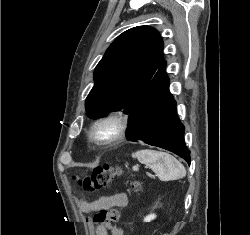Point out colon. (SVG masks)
Listing matches in <instances>:
<instances>
[{
    "mask_svg": "<svg viewBox=\"0 0 250 235\" xmlns=\"http://www.w3.org/2000/svg\"><path fill=\"white\" fill-rule=\"evenodd\" d=\"M120 173L121 169L117 166H98L87 176L77 180V184L87 192L100 191L107 188ZM130 187L133 191H138L141 184L139 181L134 180L131 182ZM119 217L120 213L116 209H101L94 215L93 220L98 223L111 224L116 222Z\"/></svg>",
    "mask_w": 250,
    "mask_h": 235,
    "instance_id": "1",
    "label": "colon"
}]
</instances>
